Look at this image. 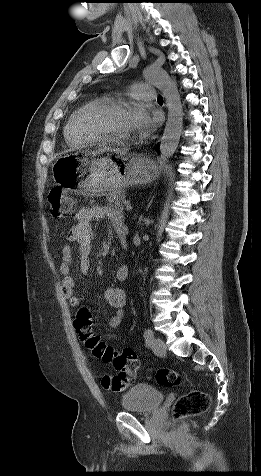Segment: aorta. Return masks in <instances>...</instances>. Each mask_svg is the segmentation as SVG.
Segmentation results:
<instances>
[{"mask_svg": "<svg viewBox=\"0 0 261 476\" xmlns=\"http://www.w3.org/2000/svg\"><path fill=\"white\" fill-rule=\"evenodd\" d=\"M145 79L163 94L168 108V118L160 144V159L167 161L175 153L183 129V107L176 83L162 69L149 67Z\"/></svg>", "mask_w": 261, "mask_h": 476, "instance_id": "obj_1", "label": "aorta"}]
</instances>
